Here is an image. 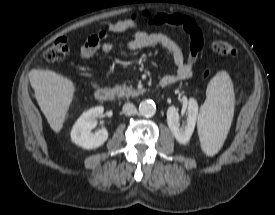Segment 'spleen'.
<instances>
[{
    "mask_svg": "<svg viewBox=\"0 0 275 215\" xmlns=\"http://www.w3.org/2000/svg\"><path fill=\"white\" fill-rule=\"evenodd\" d=\"M234 99L229 74L217 72L207 86L197 123L201 148L208 156L215 155L226 139L234 115Z\"/></svg>",
    "mask_w": 275,
    "mask_h": 215,
    "instance_id": "1",
    "label": "spleen"
}]
</instances>
